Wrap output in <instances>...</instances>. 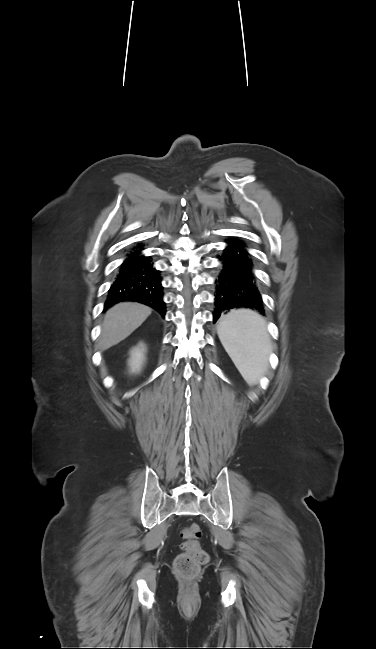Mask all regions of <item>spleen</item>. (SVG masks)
<instances>
[{
	"instance_id": "3e777b00",
	"label": "spleen",
	"mask_w": 376,
	"mask_h": 649,
	"mask_svg": "<svg viewBox=\"0 0 376 649\" xmlns=\"http://www.w3.org/2000/svg\"><path fill=\"white\" fill-rule=\"evenodd\" d=\"M218 336L249 385L257 383L268 366L270 338L264 318L250 309H236L222 317Z\"/></svg>"
}]
</instances>
